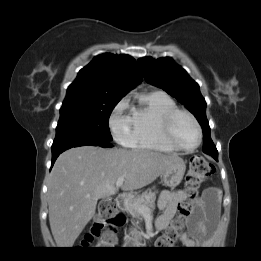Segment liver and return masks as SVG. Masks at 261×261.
I'll list each match as a JSON object with an SVG mask.
<instances>
[{"instance_id":"1","label":"liver","mask_w":261,"mask_h":261,"mask_svg":"<svg viewBox=\"0 0 261 261\" xmlns=\"http://www.w3.org/2000/svg\"><path fill=\"white\" fill-rule=\"evenodd\" d=\"M149 150L72 148L56 160L48 183L49 222L59 248H70L95 215L97 201L151 184L178 159Z\"/></svg>"}]
</instances>
